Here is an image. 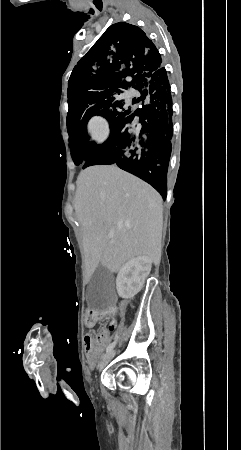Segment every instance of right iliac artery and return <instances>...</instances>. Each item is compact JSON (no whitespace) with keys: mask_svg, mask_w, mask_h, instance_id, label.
<instances>
[{"mask_svg":"<svg viewBox=\"0 0 241 450\" xmlns=\"http://www.w3.org/2000/svg\"><path fill=\"white\" fill-rule=\"evenodd\" d=\"M114 346H115V342L111 343V344L107 347L106 352H107V353L110 352V351L114 348Z\"/></svg>","mask_w":241,"mask_h":450,"instance_id":"82829eb1","label":"right iliac artery"}]
</instances>
